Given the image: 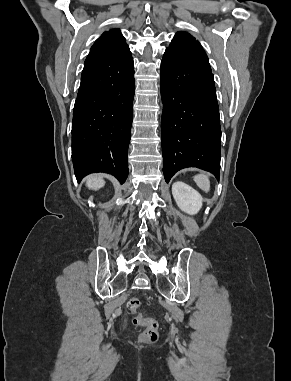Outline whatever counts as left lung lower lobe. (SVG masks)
Masks as SVG:
<instances>
[{"mask_svg": "<svg viewBox=\"0 0 291 381\" xmlns=\"http://www.w3.org/2000/svg\"><path fill=\"white\" fill-rule=\"evenodd\" d=\"M163 173L197 167L219 180L221 128L212 71L166 49L160 74Z\"/></svg>", "mask_w": 291, "mask_h": 381, "instance_id": "0a47b994", "label": "left lung lower lobe"}]
</instances>
